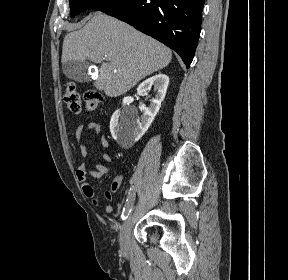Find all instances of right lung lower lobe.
<instances>
[{
    "instance_id": "98d812e1",
    "label": "right lung lower lobe",
    "mask_w": 288,
    "mask_h": 280,
    "mask_svg": "<svg viewBox=\"0 0 288 280\" xmlns=\"http://www.w3.org/2000/svg\"><path fill=\"white\" fill-rule=\"evenodd\" d=\"M204 0H119L98 10L159 40L190 67L198 44Z\"/></svg>"
}]
</instances>
